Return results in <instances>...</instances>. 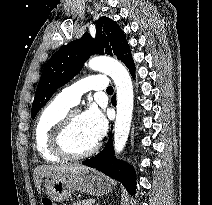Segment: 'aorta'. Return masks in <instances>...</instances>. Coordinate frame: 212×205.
Returning a JSON list of instances; mask_svg holds the SVG:
<instances>
[{
  "mask_svg": "<svg viewBox=\"0 0 212 205\" xmlns=\"http://www.w3.org/2000/svg\"><path fill=\"white\" fill-rule=\"evenodd\" d=\"M88 66L95 71L109 75L116 87L117 92V115L114 126V149L120 154L128 140L133 112V85L129 72L117 60L98 56L89 60Z\"/></svg>",
  "mask_w": 212,
  "mask_h": 205,
  "instance_id": "obj_1",
  "label": "aorta"
}]
</instances>
